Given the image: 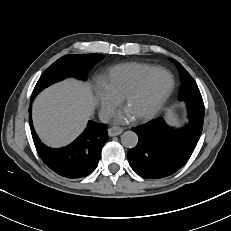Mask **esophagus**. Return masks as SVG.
<instances>
[{
    "instance_id": "obj_1",
    "label": "esophagus",
    "mask_w": 231,
    "mask_h": 231,
    "mask_svg": "<svg viewBox=\"0 0 231 231\" xmlns=\"http://www.w3.org/2000/svg\"><path fill=\"white\" fill-rule=\"evenodd\" d=\"M123 132V128L122 127H118V126H114L108 129V135L110 137L113 136H118Z\"/></svg>"
}]
</instances>
